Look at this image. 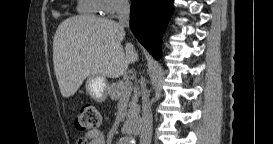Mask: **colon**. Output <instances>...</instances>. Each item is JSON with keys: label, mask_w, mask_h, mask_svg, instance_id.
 I'll use <instances>...</instances> for the list:
<instances>
[{"label": "colon", "mask_w": 273, "mask_h": 144, "mask_svg": "<svg viewBox=\"0 0 273 144\" xmlns=\"http://www.w3.org/2000/svg\"><path fill=\"white\" fill-rule=\"evenodd\" d=\"M101 116L95 106L84 104L76 118V128L79 131H92L99 127Z\"/></svg>", "instance_id": "1"}]
</instances>
